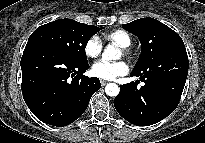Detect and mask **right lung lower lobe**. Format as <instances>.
Returning <instances> with one entry per match:
<instances>
[{"mask_svg":"<svg viewBox=\"0 0 205 143\" xmlns=\"http://www.w3.org/2000/svg\"><path fill=\"white\" fill-rule=\"evenodd\" d=\"M23 98L42 122L63 127L86 110L91 96L100 89L98 78L83 73L88 63H77L56 49L28 42L21 59Z\"/></svg>","mask_w":205,"mask_h":143,"instance_id":"1","label":"right lung lower lobe"}]
</instances>
